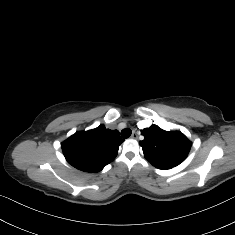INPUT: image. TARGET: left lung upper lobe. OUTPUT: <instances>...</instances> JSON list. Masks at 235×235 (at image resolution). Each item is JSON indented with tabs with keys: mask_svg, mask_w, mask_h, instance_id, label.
<instances>
[{
	"mask_svg": "<svg viewBox=\"0 0 235 235\" xmlns=\"http://www.w3.org/2000/svg\"><path fill=\"white\" fill-rule=\"evenodd\" d=\"M144 139L139 142L145 158L156 168L171 169L187 157L192 143L179 131H165L152 125L141 131Z\"/></svg>",
	"mask_w": 235,
	"mask_h": 235,
	"instance_id": "left-lung-upper-lobe-1",
	"label": "left lung upper lobe"
}]
</instances>
